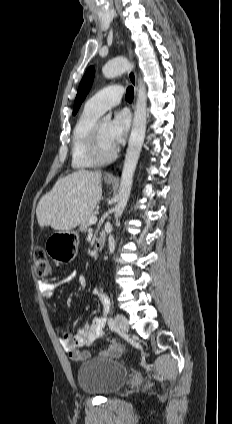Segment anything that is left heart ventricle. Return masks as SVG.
Instances as JSON below:
<instances>
[{"label": "left heart ventricle", "mask_w": 232, "mask_h": 424, "mask_svg": "<svg viewBox=\"0 0 232 424\" xmlns=\"http://www.w3.org/2000/svg\"><path fill=\"white\" fill-rule=\"evenodd\" d=\"M109 122H100V144L104 155H110L116 148L109 138Z\"/></svg>", "instance_id": "obj_1"}]
</instances>
